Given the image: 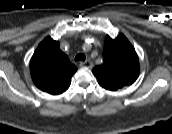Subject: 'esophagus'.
I'll return each instance as SVG.
<instances>
[{
    "instance_id": "esophagus-1",
    "label": "esophagus",
    "mask_w": 172,
    "mask_h": 134,
    "mask_svg": "<svg viewBox=\"0 0 172 134\" xmlns=\"http://www.w3.org/2000/svg\"><path fill=\"white\" fill-rule=\"evenodd\" d=\"M79 65L81 67H88V68H92L93 67V63L90 60H87L85 62H81Z\"/></svg>"
}]
</instances>
